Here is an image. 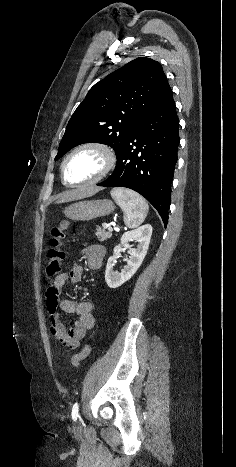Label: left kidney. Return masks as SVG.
Wrapping results in <instances>:
<instances>
[{
    "instance_id": "left-kidney-1",
    "label": "left kidney",
    "mask_w": 236,
    "mask_h": 467,
    "mask_svg": "<svg viewBox=\"0 0 236 467\" xmlns=\"http://www.w3.org/2000/svg\"><path fill=\"white\" fill-rule=\"evenodd\" d=\"M152 235V226L150 224H145L135 230L125 232L121 237V243L117 245L113 250V256L108 259L106 271H105V280L107 285L110 288H117L123 283L128 281L141 266ZM137 241L136 248H130V241ZM122 248H129V259H126L127 265L120 273L113 270L117 255L120 253Z\"/></svg>"
}]
</instances>
